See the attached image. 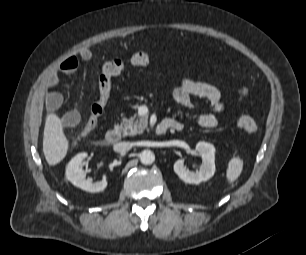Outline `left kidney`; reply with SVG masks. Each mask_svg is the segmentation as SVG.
<instances>
[{
    "instance_id": "1",
    "label": "left kidney",
    "mask_w": 306,
    "mask_h": 255,
    "mask_svg": "<svg viewBox=\"0 0 306 255\" xmlns=\"http://www.w3.org/2000/svg\"><path fill=\"white\" fill-rule=\"evenodd\" d=\"M196 150L202 159V164L196 172L186 169L183 159L174 163V172L185 183L199 184L209 180L215 173V147L207 142H199L196 145Z\"/></svg>"
}]
</instances>
